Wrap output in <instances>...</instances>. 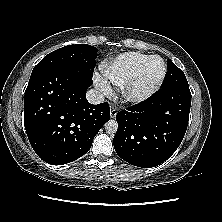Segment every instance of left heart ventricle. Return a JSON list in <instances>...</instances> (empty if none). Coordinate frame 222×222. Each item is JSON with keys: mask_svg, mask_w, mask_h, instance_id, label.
<instances>
[{"mask_svg": "<svg viewBox=\"0 0 222 222\" xmlns=\"http://www.w3.org/2000/svg\"><path fill=\"white\" fill-rule=\"evenodd\" d=\"M163 64L160 59H154L147 67L143 79L139 85V89L143 90L151 86L161 76Z\"/></svg>", "mask_w": 222, "mask_h": 222, "instance_id": "left-heart-ventricle-1", "label": "left heart ventricle"}]
</instances>
